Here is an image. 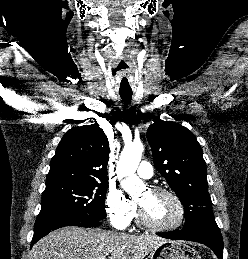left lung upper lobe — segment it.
Wrapping results in <instances>:
<instances>
[{"label":"left lung upper lobe","mask_w":248,"mask_h":259,"mask_svg":"<svg viewBox=\"0 0 248 259\" xmlns=\"http://www.w3.org/2000/svg\"><path fill=\"white\" fill-rule=\"evenodd\" d=\"M147 139L156 169L184 206L183 229L215 222L206 163L194 134L178 123L157 119L148 128Z\"/></svg>","instance_id":"1"}]
</instances>
